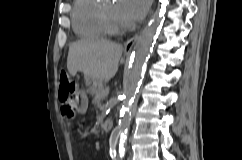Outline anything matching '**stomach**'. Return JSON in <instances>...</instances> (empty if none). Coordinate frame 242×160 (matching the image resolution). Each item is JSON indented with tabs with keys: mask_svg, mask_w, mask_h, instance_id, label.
Returning <instances> with one entry per match:
<instances>
[{
	"mask_svg": "<svg viewBox=\"0 0 242 160\" xmlns=\"http://www.w3.org/2000/svg\"><path fill=\"white\" fill-rule=\"evenodd\" d=\"M85 84L87 87V91L91 95H96L102 88H103V82L99 81L97 79L86 77L85 78Z\"/></svg>",
	"mask_w": 242,
	"mask_h": 160,
	"instance_id": "1",
	"label": "stomach"
}]
</instances>
